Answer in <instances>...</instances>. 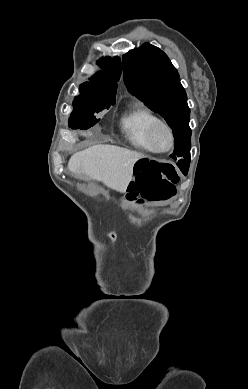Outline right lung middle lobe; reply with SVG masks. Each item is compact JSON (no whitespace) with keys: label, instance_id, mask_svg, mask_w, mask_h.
Listing matches in <instances>:
<instances>
[{"label":"right lung middle lobe","instance_id":"1","mask_svg":"<svg viewBox=\"0 0 248 389\" xmlns=\"http://www.w3.org/2000/svg\"><path fill=\"white\" fill-rule=\"evenodd\" d=\"M114 104L115 96L94 94L80 86V96L76 97L73 102L74 111L69 120L70 127L87 129L93 126L99 121L94 113L108 109Z\"/></svg>","mask_w":248,"mask_h":389}]
</instances>
